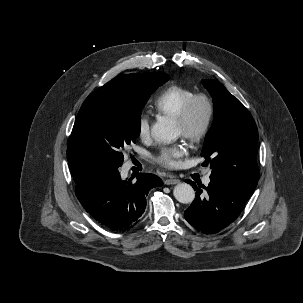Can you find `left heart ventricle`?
I'll use <instances>...</instances> for the list:
<instances>
[{
  "instance_id": "left-heart-ventricle-1",
  "label": "left heart ventricle",
  "mask_w": 303,
  "mask_h": 303,
  "mask_svg": "<svg viewBox=\"0 0 303 303\" xmlns=\"http://www.w3.org/2000/svg\"><path fill=\"white\" fill-rule=\"evenodd\" d=\"M205 108L202 103H199L194 111V120L196 123H199L204 116ZM177 130L179 134H182L181 126L177 123Z\"/></svg>"
}]
</instances>
